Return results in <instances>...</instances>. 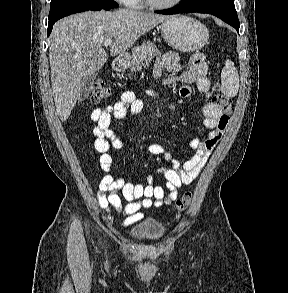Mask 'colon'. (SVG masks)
<instances>
[{
  "label": "colon",
  "instance_id": "colon-1",
  "mask_svg": "<svg viewBox=\"0 0 288 293\" xmlns=\"http://www.w3.org/2000/svg\"><path fill=\"white\" fill-rule=\"evenodd\" d=\"M214 90H218V86H214ZM110 95V89L105 85L102 81H97L93 84L91 90L90 99L93 103H99L105 99H107ZM216 103L223 110V112L227 115L231 111V101L230 99L217 92L214 96ZM192 201V194L190 192L185 193L179 200H177L174 210L181 212L184 211Z\"/></svg>",
  "mask_w": 288,
  "mask_h": 293
}]
</instances>
